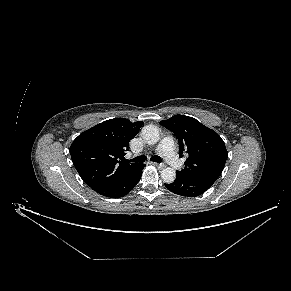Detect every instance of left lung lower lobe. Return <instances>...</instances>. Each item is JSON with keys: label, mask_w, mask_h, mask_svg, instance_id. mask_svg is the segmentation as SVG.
<instances>
[{"label": "left lung lower lobe", "mask_w": 291, "mask_h": 291, "mask_svg": "<svg viewBox=\"0 0 291 291\" xmlns=\"http://www.w3.org/2000/svg\"><path fill=\"white\" fill-rule=\"evenodd\" d=\"M216 180L212 177L189 178L177 172L176 179L165 187L180 196L196 197L207 191Z\"/></svg>", "instance_id": "obj_1"}]
</instances>
